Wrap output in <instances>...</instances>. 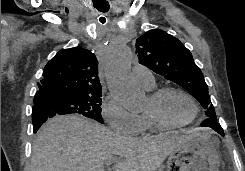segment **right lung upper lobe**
I'll return each mask as SVG.
<instances>
[{"label":"right lung upper lobe","instance_id":"cb5924a9","mask_svg":"<svg viewBox=\"0 0 245 171\" xmlns=\"http://www.w3.org/2000/svg\"><path fill=\"white\" fill-rule=\"evenodd\" d=\"M34 105L49 96L102 94L95 55L80 46L60 50L45 66Z\"/></svg>","mask_w":245,"mask_h":171}]
</instances>
